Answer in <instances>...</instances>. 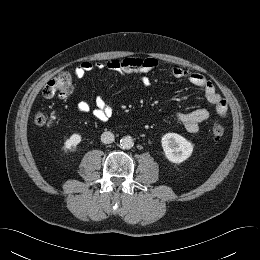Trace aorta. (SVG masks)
I'll return each mask as SVG.
<instances>
[{
    "instance_id": "1",
    "label": "aorta",
    "mask_w": 260,
    "mask_h": 260,
    "mask_svg": "<svg viewBox=\"0 0 260 260\" xmlns=\"http://www.w3.org/2000/svg\"><path fill=\"white\" fill-rule=\"evenodd\" d=\"M134 145L133 138L131 136H125L120 140V146L122 149H130Z\"/></svg>"
}]
</instances>
